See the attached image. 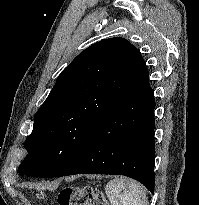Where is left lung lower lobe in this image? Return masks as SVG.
<instances>
[{
	"instance_id": "0a47b994",
	"label": "left lung lower lobe",
	"mask_w": 199,
	"mask_h": 205,
	"mask_svg": "<svg viewBox=\"0 0 199 205\" xmlns=\"http://www.w3.org/2000/svg\"><path fill=\"white\" fill-rule=\"evenodd\" d=\"M154 108L142 58L128 92L99 122L76 159L58 176L125 175L154 192Z\"/></svg>"
}]
</instances>
